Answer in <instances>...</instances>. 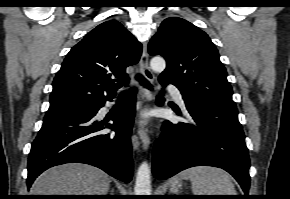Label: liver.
Here are the masks:
<instances>
[{"label": "liver", "instance_id": "1", "mask_svg": "<svg viewBox=\"0 0 290 199\" xmlns=\"http://www.w3.org/2000/svg\"><path fill=\"white\" fill-rule=\"evenodd\" d=\"M110 177L86 164H64L41 174L31 187L32 195H107Z\"/></svg>", "mask_w": 290, "mask_h": 199}]
</instances>
